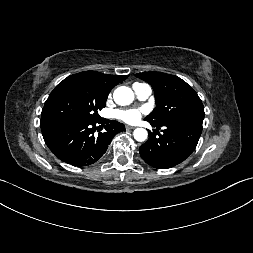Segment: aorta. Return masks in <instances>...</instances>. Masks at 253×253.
<instances>
[{
  "label": "aorta",
  "mask_w": 253,
  "mask_h": 253,
  "mask_svg": "<svg viewBox=\"0 0 253 253\" xmlns=\"http://www.w3.org/2000/svg\"><path fill=\"white\" fill-rule=\"evenodd\" d=\"M114 101L121 106L129 105L134 100V93L129 87H118L113 93ZM134 138L139 141H145L148 137V133L144 128H137L134 130Z\"/></svg>",
  "instance_id": "aorta-1"
}]
</instances>
